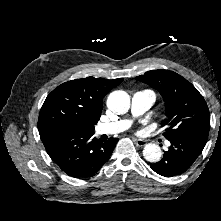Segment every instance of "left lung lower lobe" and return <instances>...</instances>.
Listing matches in <instances>:
<instances>
[{
  "label": "left lung lower lobe",
  "mask_w": 221,
  "mask_h": 221,
  "mask_svg": "<svg viewBox=\"0 0 221 221\" xmlns=\"http://www.w3.org/2000/svg\"><path fill=\"white\" fill-rule=\"evenodd\" d=\"M208 138V133L194 132L169 139L171 146L164 152L161 161L150 167L159 175L174 177L186 172L201 154Z\"/></svg>",
  "instance_id": "obj_1"
}]
</instances>
